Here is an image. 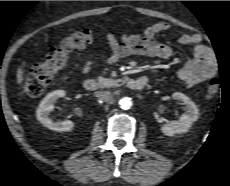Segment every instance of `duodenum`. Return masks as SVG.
I'll return each mask as SVG.
<instances>
[{"instance_id": "duodenum-1", "label": "duodenum", "mask_w": 230, "mask_h": 186, "mask_svg": "<svg viewBox=\"0 0 230 186\" xmlns=\"http://www.w3.org/2000/svg\"><path fill=\"white\" fill-rule=\"evenodd\" d=\"M125 82L129 89L134 90V91H139V90H142L147 85L148 81L144 77H140V78L127 77L125 79ZM98 87H99L98 82L94 79H87L84 82V88L87 91H90V92L96 91Z\"/></svg>"}]
</instances>
